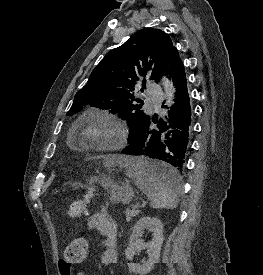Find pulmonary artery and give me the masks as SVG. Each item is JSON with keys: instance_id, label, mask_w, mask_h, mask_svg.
<instances>
[{"instance_id": "1", "label": "pulmonary artery", "mask_w": 263, "mask_h": 275, "mask_svg": "<svg viewBox=\"0 0 263 275\" xmlns=\"http://www.w3.org/2000/svg\"><path fill=\"white\" fill-rule=\"evenodd\" d=\"M147 98L148 100H150L155 106H159L163 96H162V92L161 89L158 85L156 84H150L147 87Z\"/></svg>"}]
</instances>
